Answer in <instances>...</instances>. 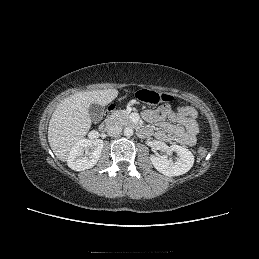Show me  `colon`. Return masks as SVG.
<instances>
[{
  "instance_id": "obj_1",
  "label": "colon",
  "mask_w": 259,
  "mask_h": 259,
  "mask_svg": "<svg viewBox=\"0 0 259 259\" xmlns=\"http://www.w3.org/2000/svg\"><path fill=\"white\" fill-rule=\"evenodd\" d=\"M136 98L150 105L161 104L163 106H170L171 101L173 100L172 96L165 93H159L153 90L142 89L136 93ZM197 155L199 159H204L207 155V150L205 148H199L197 151Z\"/></svg>"
}]
</instances>
